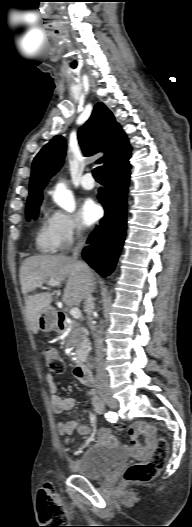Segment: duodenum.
Here are the masks:
<instances>
[{"mask_svg": "<svg viewBox=\"0 0 192 527\" xmlns=\"http://www.w3.org/2000/svg\"><path fill=\"white\" fill-rule=\"evenodd\" d=\"M57 318V325L60 330H63L65 327V315L62 312H58L56 315ZM75 376L85 385L92 386L95 383V380L86 367V365L80 363L76 366L74 370Z\"/></svg>", "mask_w": 192, "mask_h": 527, "instance_id": "obj_1", "label": "duodenum"}]
</instances>
